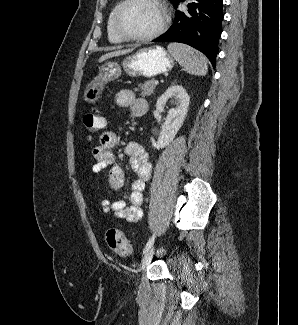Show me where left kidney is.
<instances>
[{
	"label": "left kidney",
	"mask_w": 298,
	"mask_h": 325,
	"mask_svg": "<svg viewBox=\"0 0 298 325\" xmlns=\"http://www.w3.org/2000/svg\"><path fill=\"white\" fill-rule=\"evenodd\" d=\"M169 98H173L176 106L175 108H169L165 122H163L161 126L162 130L158 136V140H155V138L151 136V142L154 148H164V146H167V144L175 138L188 112L190 96L181 84L168 86L167 90L157 98L155 106L158 112H165V106Z\"/></svg>",
	"instance_id": "left-kidney-1"
}]
</instances>
